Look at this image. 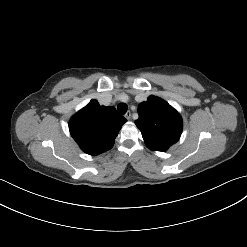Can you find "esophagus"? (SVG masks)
<instances>
[{
  "instance_id": "34e87169",
  "label": "esophagus",
  "mask_w": 247,
  "mask_h": 247,
  "mask_svg": "<svg viewBox=\"0 0 247 247\" xmlns=\"http://www.w3.org/2000/svg\"><path fill=\"white\" fill-rule=\"evenodd\" d=\"M124 116L127 120H130L131 119V112L130 111L126 112Z\"/></svg>"
}]
</instances>
